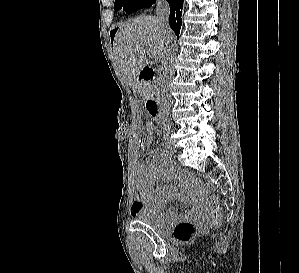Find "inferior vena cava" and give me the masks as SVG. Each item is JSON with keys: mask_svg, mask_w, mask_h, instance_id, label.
Wrapping results in <instances>:
<instances>
[{"mask_svg": "<svg viewBox=\"0 0 299 273\" xmlns=\"http://www.w3.org/2000/svg\"><path fill=\"white\" fill-rule=\"evenodd\" d=\"M170 9L169 5L165 0H159L156 6V19L163 31L164 34H168L169 25H168V17H169ZM171 51V42L167 41V44L161 54V65H160V75H159V85L161 89V108L163 114H167L169 109V98L167 94V60L169 58Z\"/></svg>", "mask_w": 299, "mask_h": 273, "instance_id": "inferior-vena-cava-1", "label": "inferior vena cava"}]
</instances>
